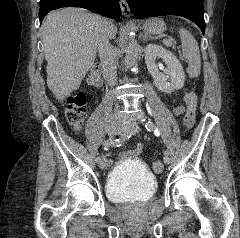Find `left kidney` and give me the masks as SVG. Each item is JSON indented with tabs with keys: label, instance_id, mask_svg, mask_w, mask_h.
<instances>
[{
	"label": "left kidney",
	"instance_id": "1",
	"mask_svg": "<svg viewBox=\"0 0 240 238\" xmlns=\"http://www.w3.org/2000/svg\"><path fill=\"white\" fill-rule=\"evenodd\" d=\"M156 58H161L165 62L167 69L164 73L170 76L169 82L165 74L158 70ZM145 63L159 90L170 93L183 87L185 79L183 67L177 57L167 49L157 44H148L145 49Z\"/></svg>",
	"mask_w": 240,
	"mask_h": 238
}]
</instances>
